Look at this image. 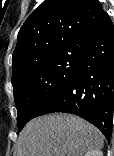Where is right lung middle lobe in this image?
Wrapping results in <instances>:
<instances>
[{"label":"right lung middle lobe","mask_w":114,"mask_h":156,"mask_svg":"<svg viewBox=\"0 0 114 156\" xmlns=\"http://www.w3.org/2000/svg\"><path fill=\"white\" fill-rule=\"evenodd\" d=\"M80 45L37 62L12 80L18 128L50 104L69 84L83 58Z\"/></svg>","instance_id":"obj_1"}]
</instances>
